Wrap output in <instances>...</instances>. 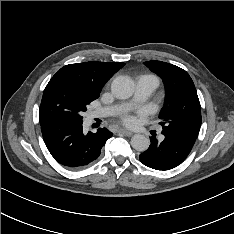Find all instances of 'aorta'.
Masks as SVG:
<instances>
[{
  "label": "aorta",
  "instance_id": "1",
  "mask_svg": "<svg viewBox=\"0 0 234 234\" xmlns=\"http://www.w3.org/2000/svg\"><path fill=\"white\" fill-rule=\"evenodd\" d=\"M111 91L118 99H127L134 92V82L127 76H119L115 78L111 84ZM150 145L148 137L141 134H135L131 138V146L140 152L146 151Z\"/></svg>",
  "mask_w": 234,
  "mask_h": 234
}]
</instances>
